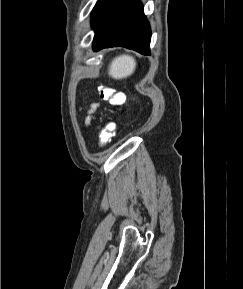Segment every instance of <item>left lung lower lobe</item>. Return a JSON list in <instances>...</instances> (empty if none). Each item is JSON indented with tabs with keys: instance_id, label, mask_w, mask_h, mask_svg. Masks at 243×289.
Returning a JSON list of instances; mask_svg holds the SVG:
<instances>
[{
	"instance_id": "left-lung-lower-lobe-1",
	"label": "left lung lower lobe",
	"mask_w": 243,
	"mask_h": 289,
	"mask_svg": "<svg viewBox=\"0 0 243 289\" xmlns=\"http://www.w3.org/2000/svg\"><path fill=\"white\" fill-rule=\"evenodd\" d=\"M93 50L123 46L150 55L151 31L138 0H99L93 10Z\"/></svg>"
}]
</instances>
